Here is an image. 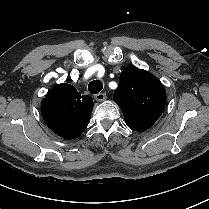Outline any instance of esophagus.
Instances as JSON below:
<instances>
[{"label":"esophagus","instance_id":"obj_1","mask_svg":"<svg viewBox=\"0 0 209 209\" xmlns=\"http://www.w3.org/2000/svg\"><path fill=\"white\" fill-rule=\"evenodd\" d=\"M94 98L99 102L104 101L106 99V93H98Z\"/></svg>","mask_w":209,"mask_h":209}]
</instances>
